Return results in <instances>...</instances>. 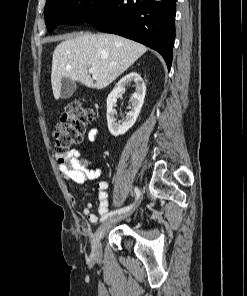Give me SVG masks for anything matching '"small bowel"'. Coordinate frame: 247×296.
<instances>
[{"mask_svg": "<svg viewBox=\"0 0 247 296\" xmlns=\"http://www.w3.org/2000/svg\"><path fill=\"white\" fill-rule=\"evenodd\" d=\"M98 128L94 127L89 131L88 137L91 142L95 141L98 135ZM58 169L65 180H71L77 184H83L87 181L98 179L102 173L100 168L89 169L86 167V161L78 150H69L66 154L59 156ZM108 182L100 180L96 184L97 195L99 199L98 212L101 216L109 213ZM70 198L76 202V198L70 193ZM82 214L86 216L90 223H96L98 216L92 213V205L87 202L82 208Z\"/></svg>", "mask_w": 247, "mask_h": 296, "instance_id": "small-bowel-1", "label": "small bowel"}]
</instances>
